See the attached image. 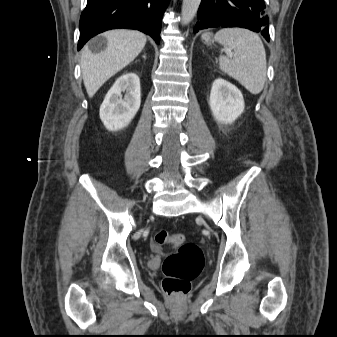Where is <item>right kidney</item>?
<instances>
[{
  "mask_svg": "<svg viewBox=\"0 0 337 337\" xmlns=\"http://www.w3.org/2000/svg\"><path fill=\"white\" fill-rule=\"evenodd\" d=\"M122 93H125L124 97ZM140 80L135 73L121 75L106 94L100 119L110 131L126 127L140 108Z\"/></svg>",
  "mask_w": 337,
  "mask_h": 337,
  "instance_id": "right-kidney-1",
  "label": "right kidney"
}]
</instances>
